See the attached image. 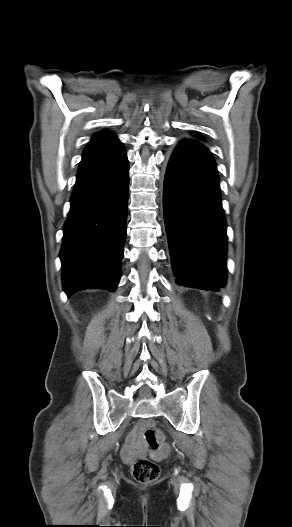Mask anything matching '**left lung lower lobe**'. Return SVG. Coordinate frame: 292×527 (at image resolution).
I'll use <instances>...</instances> for the list:
<instances>
[{
    "instance_id": "0a47b994",
    "label": "left lung lower lobe",
    "mask_w": 292,
    "mask_h": 527,
    "mask_svg": "<svg viewBox=\"0 0 292 527\" xmlns=\"http://www.w3.org/2000/svg\"><path fill=\"white\" fill-rule=\"evenodd\" d=\"M164 219L177 283L218 291L226 281V221L209 150L182 141L164 179Z\"/></svg>"
}]
</instances>
